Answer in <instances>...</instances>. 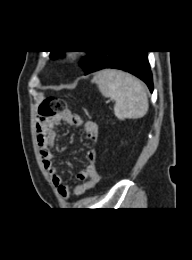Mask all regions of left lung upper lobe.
<instances>
[{
	"instance_id": "1",
	"label": "left lung upper lobe",
	"mask_w": 192,
	"mask_h": 260,
	"mask_svg": "<svg viewBox=\"0 0 192 260\" xmlns=\"http://www.w3.org/2000/svg\"><path fill=\"white\" fill-rule=\"evenodd\" d=\"M64 51H51L50 53V57L53 59H57L58 57L61 56V54ZM88 52V57H86L82 62L81 65L83 66L84 70L86 71L88 66L90 65L92 59L94 58V56L96 55V53L98 51H87Z\"/></svg>"
}]
</instances>
